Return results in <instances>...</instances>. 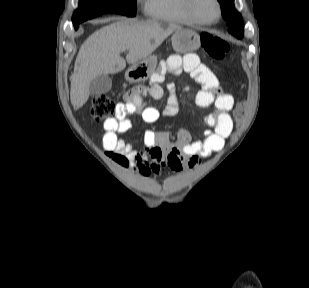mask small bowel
Listing matches in <instances>:
<instances>
[{
  "instance_id": "1",
  "label": "small bowel",
  "mask_w": 309,
  "mask_h": 288,
  "mask_svg": "<svg viewBox=\"0 0 309 288\" xmlns=\"http://www.w3.org/2000/svg\"><path fill=\"white\" fill-rule=\"evenodd\" d=\"M171 74H179L182 70L189 72L194 82L200 86L198 90L187 86L183 89L186 98L193 97L198 107L214 111L205 118L207 129L205 137L193 140L190 132L179 129L175 141L164 131L145 132V149L138 151L132 145L118 138V133L129 130L132 126L130 115H139L143 122L151 124L161 116V112L153 106H145L144 99L149 97L158 100L164 91L160 78L155 77L148 85L133 88L125 95V102L118 103V112L113 118L105 120L102 144L107 154L114 155L123 167H133L143 177L159 176L162 168L167 167L173 173L180 174L185 168H194L200 160L223 149L225 139L233 131V120L230 111L234 106V98L224 92L212 70L199 61L193 53L184 56L172 55L166 64ZM169 96L162 114L174 116L178 112L179 101L173 85L168 86Z\"/></svg>"
}]
</instances>
